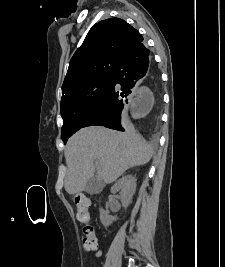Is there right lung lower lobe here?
Wrapping results in <instances>:
<instances>
[{"instance_id": "98d812e1", "label": "right lung lower lobe", "mask_w": 225, "mask_h": 267, "mask_svg": "<svg viewBox=\"0 0 225 267\" xmlns=\"http://www.w3.org/2000/svg\"><path fill=\"white\" fill-rule=\"evenodd\" d=\"M144 80L155 88L160 80L153 65L150 51L143 42L126 51L120 58L113 72L112 84L100 106L83 124L87 126H105L114 130L124 131L121 125V113L127 109L133 88Z\"/></svg>"}]
</instances>
